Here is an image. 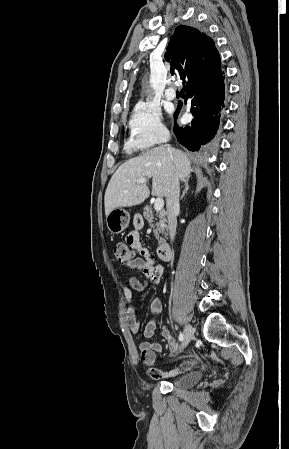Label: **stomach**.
Wrapping results in <instances>:
<instances>
[{
	"label": "stomach",
	"instance_id": "1",
	"mask_svg": "<svg viewBox=\"0 0 289 449\" xmlns=\"http://www.w3.org/2000/svg\"><path fill=\"white\" fill-rule=\"evenodd\" d=\"M130 222V214L123 208H116L106 216V225L113 234L124 231Z\"/></svg>",
	"mask_w": 289,
	"mask_h": 449
}]
</instances>
